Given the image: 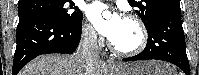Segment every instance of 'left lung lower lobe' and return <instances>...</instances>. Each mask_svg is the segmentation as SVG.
<instances>
[{"label": "left lung lower lobe", "mask_w": 199, "mask_h": 75, "mask_svg": "<svg viewBox=\"0 0 199 75\" xmlns=\"http://www.w3.org/2000/svg\"><path fill=\"white\" fill-rule=\"evenodd\" d=\"M148 41L145 49L136 56L123 61L157 59L171 62L190 75L186 54L185 36L181 22V9L162 11L146 28Z\"/></svg>", "instance_id": "obj_1"}]
</instances>
